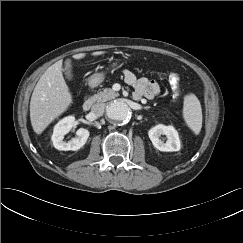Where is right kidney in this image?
Wrapping results in <instances>:
<instances>
[{"instance_id": "1", "label": "right kidney", "mask_w": 243, "mask_h": 243, "mask_svg": "<svg viewBox=\"0 0 243 243\" xmlns=\"http://www.w3.org/2000/svg\"><path fill=\"white\" fill-rule=\"evenodd\" d=\"M74 123L75 117L68 116L60 120L55 125L51 139L56 149L62 151H76L80 149L83 145H85L90 133L87 129L84 128H80L76 131V138H73L71 141L68 142L63 141L64 135L72 129Z\"/></svg>"}]
</instances>
